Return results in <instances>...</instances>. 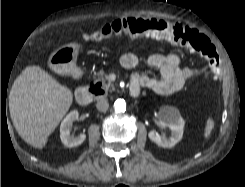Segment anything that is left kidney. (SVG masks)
Returning <instances> with one entry per match:
<instances>
[{
	"mask_svg": "<svg viewBox=\"0 0 245 187\" xmlns=\"http://www.w3.org/2000/svg\"><path fill=\"white\" fill-rule=\"evenodd\" d=\"M158 116L170 128L171 136L166 138L160 136L155 130H151L148 137L160 147L171 148L182 139L185 122L179 110L172 106H162Z\"/></svg>",
	"mask_w": 245,
	"mask_h": 187,
	"instance_id": "obj_1",
	"label": "left kidney"
}]
</instances>
